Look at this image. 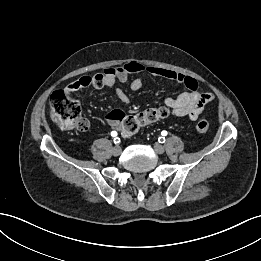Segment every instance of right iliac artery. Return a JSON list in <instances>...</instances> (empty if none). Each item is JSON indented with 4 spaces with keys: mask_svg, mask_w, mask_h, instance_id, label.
I'll list each match as a JSON object with an SVG mask.
<instances>
[{
    "mask_svg": "<svg viewBox=\"0 0 261 261\" xmlns=\"http://www.w3.org/2000/svg\"><path fill=\"white\" fill-rule=\"evenodd\" d=\"M111 135H112L113 137H115V136H117V132H116V131H112V132H111ZM113 141H114L115 144H118V143H120V138L116 137V138H114Z\"/></svg>",
    "mask_w": 261,
    "mask_h": 261,
    "instance_id": "right-iliac-artery-1",
    "label": "right iliac artery"
}]
</instances>
